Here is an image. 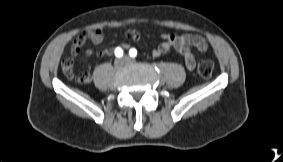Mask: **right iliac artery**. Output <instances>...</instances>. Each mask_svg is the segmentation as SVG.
I'll use <instances>...</instances> for the list:
<instances>
[{
  "label": "right iliac artery",
  "instance_id": "right-iliac-artery-1",
  "mask_svg": "<svg viewBox=\"0 0 283 162\" xmlns=\"http://www.w3.org/2000/svg\"><path fill=\"white\" fill-rule=\"evenodd\" d=\"M115 56L116 57H122L123 56V50L120 47H117L115 49Z\"/></svg>",
  "mask_w": 283,
  "mask_h": 162
}]
</instances>
